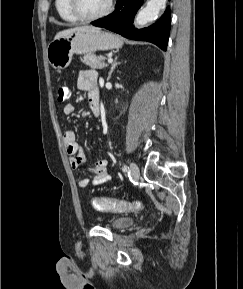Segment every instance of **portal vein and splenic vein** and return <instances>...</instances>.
I'll return each mask as SVG.
<instances>
[{
    "label": "portal vein and splenic vein",
    "mask_w": 243,
    "mask_h": 289,
    "mask_svg": "<svg viewBox=\"0 0 243 289\" xmlns=\"http://www.w3.org/2000/svg\"><path fill=\"white\" fill-rule=\"evenodd\" d=\"M113 62V59L112 58H109L108 59V63H112Z\"/></svg>",
    "instance_id": "18ae733b"
}]
</instances>
